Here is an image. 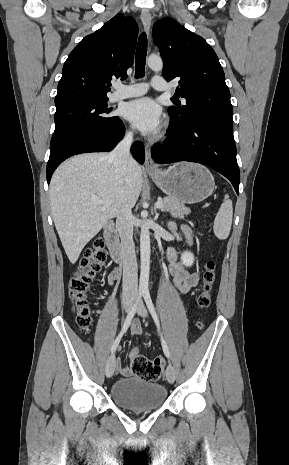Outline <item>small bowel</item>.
I'll use <instances>...</instances> for the list:
<instances>
[{
	"instance_id": "small-bowel-1",
	"label": "small bowel",
	"mask_w": 289,
	"mask_h": 465,
	"mask_svg": "<svg viewBox=\"0 0 289 465\" xmlns=\"http://www.w3.org/2000/svg\"><path fill=\"white\" fill-rule=\"evenodd\" d=\"M172 229L175 227L172 225ZM181 233L186 240L187 244H191L192 241V232L189 227L183 226L181 227ZM167 258L169 261V272L173 277V282L177 289L182 293L186 294L190 290L197 287L199 283V275L196 272L188 270L179 260H178V252L176 249L171 248L167 252ZM118 270L114 269L108 274V284L112 285L113 282L118 278ZM131 331L133 334L140 335L142 334V328L140 321L138 319H134L131 323ZM117 371L122 376H129L131 374V370L128 367L122 366L120 360H117Z\"/></svg>"
}]
</instances>
